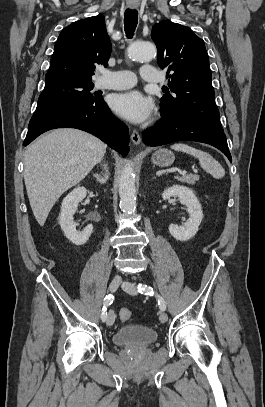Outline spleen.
<instances>
[{
    "instance_id": "obj_1",
    "label": "spleen",
    "mask_w": 265,
    "mask_h": 407,
    "mask_svg": "<svg viewBox=\"0 0 265 407\" xmlns=\"http://www.w3.org/2000/svg\"><path fill=\"white\" fill-rule=\"evenodd\" d=\"M171 149L182 151L199 160L200 166L214 178L221 179L225 175V170L209 153L193 148L187 144L176 143Z\"/></svg>"
}]
</instances>
